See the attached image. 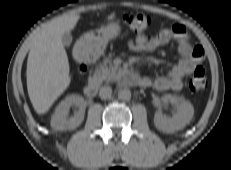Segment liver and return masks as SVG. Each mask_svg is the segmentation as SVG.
Masks as SVG:
<instances>
[{"label":"liver","instance_id":"obj_1","mask_svg":"<svg viewBox=\"0 0 231 170\" xmlns=\"http://www.w3.org/2000/svg\"><path fill=\"white\" fill-rule=\"evenodd\" d=\"M79 19V14L55 18L33 37L27 61V90L38 114L46 113L70 85V67L62 36L73 30Z\"/></svg>","mask_w":231,"mask_h":170}]
</instances>
